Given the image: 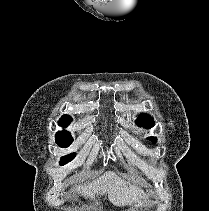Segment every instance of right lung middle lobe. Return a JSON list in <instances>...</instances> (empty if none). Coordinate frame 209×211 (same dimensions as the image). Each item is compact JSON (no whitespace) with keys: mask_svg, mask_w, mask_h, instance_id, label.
I'll return each instance as SVG.
<instances>
[{"mask_svg":"<svg viewBox=\"0 0 209 211\" xmlns=\"http://www.w3.org/2000/svg\"><path fill=\"white\" fill-rule=\"evenodd\" d=\"M55 140H56V143L58 144V146H60L62 148L68 147L73 142L72 136L67 131L58 132L55 136ZM74 157H75L74 153H72L68 156L62 157L60 164L64 165V164L68 163L69 161H71Z\"/></svg>","mask_w":209,"mask_h":211,"instance_id":"dd1d6c3e","label":"right lung middle lobe"}]
</instances>
